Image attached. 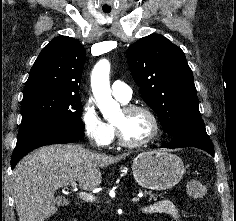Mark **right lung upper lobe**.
<instances>
[{"instance_id": "right-lung-upper-lobe-1", "label": "right lung upper lobe", "mask_w": 236, "mask_h": 221, "mask_svg": "<svg viewBox=\"0 0 236 221\" xmlns=\"http://www.w3.org/2000/svg\"><path fill=\"white\" fill-rule=\"evenodd\" d=\"M85 49L68 36L52 39L30 70L24 94L37 91L79 94Z\"/></svg>"}]
</instances>
